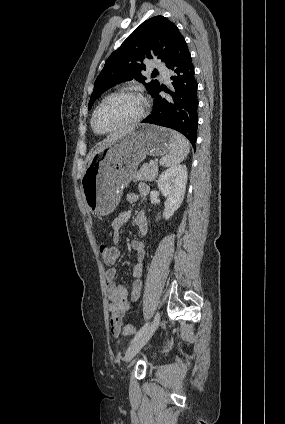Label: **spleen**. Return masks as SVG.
<instances>
[{"instance_id":"1","label":"spleen","mask_w":285,"mask_h":424,"mask_svg":"<svg viewBox=\"0 0 285 424\" xmlns=\"http://www.w3.org/2000/svg\"><path fill=\"white\" fill-rule=\"evenodd\" d=\"M173 148L170 153L160 159V164L165 167L174 166L182 162L190 152L189 141L180 133L173 132Z\"/></svg>"}]
</instances>
